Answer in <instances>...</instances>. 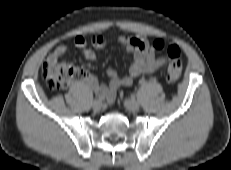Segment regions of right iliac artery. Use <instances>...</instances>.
Returning <instances> with one entry per match:
<instances>
[{
    "label": "right iliac artery",
    "mask_w": 231,
    "mask_h": 170,
    "mask_svg": "<svg viewBox=\"0 0 231 170\" xmlns=\"http://www.w3.org/2000/svg\"><path fill=\"white\" fill-rule=\"evenodd\" d=\"M97 98L100 99V100H103L105 97L102 94H98Z\"/></svg>",
    "instance_id": "82829eb1"
}]
</instances>
